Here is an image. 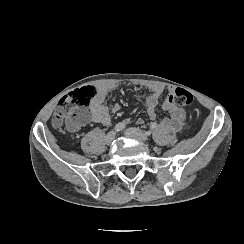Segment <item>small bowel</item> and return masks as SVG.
<instances>
[{"mask_svg":"<svg viewBox=\"0 0 244 244\" xmlns=\"http://www.w3.org/2000/svg\"><path fill=\"white\" fill-rule=\"evenodd\" d=\"M98 87V95L91 101L89 107L92 111V118L90 122L109 125L112 120V116L108 108L104 105V100L107 95L116 87L113 82L102 83ZM85 89L89 90V87ZM164 89L160 86L150 88L144 91L141 96L144 97L147 104V115L151 120L156 119L157 107L160 102V97ZM173 90L169 89V95L162 102V109L170 114L169 117L165 118L161 125L163 129L173 132H181L187 128L186 112L183 108L177 106L172 101ZM117 107H115L116 109Z\"/></svg>","mask_w":244,"mask_h":244,"instance_id":"small-bowel-1","label":"small bowel"}]
</instances>
